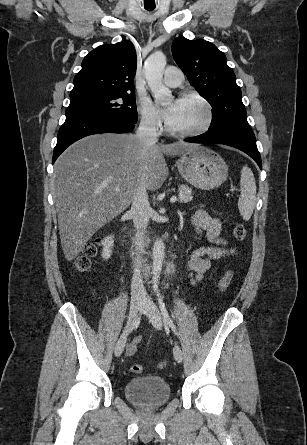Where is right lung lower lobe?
<instances>
[{"label":"right lung lower lobe","mask_w":307,"mask_h":445,"mask_svg":"<svg viewBox=\"0 0 307 445\" xmlns=\"http://www.w3.org/2000/svg\"><path fill=\"white\" fill-rule=\"evenodd\" d=\"M137 120L109 114H76L67 116L58 132L52 163L75 141L98 133H126L134 129Z\"/></svg>","instance_id":"obj_1"}]
</instances>
